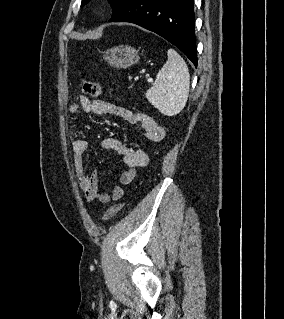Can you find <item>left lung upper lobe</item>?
I'll return each mask as SVG.
<instances>
[{
    "label": "left lung upper lobe",
    "instance_id": "5c2ea615",
    "mask_svg": "<svg viewBox=\"0 0 284 319\" xmlns=\"http://www.w3.org/2000/svg\"><path fill=\"white\" fill-rule=\"evenodd\" d=\"M89 1L90 0H82L81 7L84 6L86 3H88ZM109 1L112 4V9H113L112 17H113L123 8V6L126 4L128 0H109Z\"/></svg>",
    "mask_w": 284,
    "mask_h": 319
}]
</instances>
